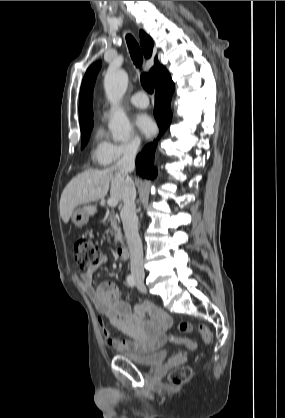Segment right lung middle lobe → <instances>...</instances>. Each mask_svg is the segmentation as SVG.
I'll return each instance as SVG.
<instances>
[{"label":"right lung middle lobe","instance_id":"obj_1","mask_svg":"<svg viewBox=\"0 0 285 418\" xmlns=\"http://www.w3.org/2000/svg\"><path fill=\"white\" fill-rule=\"evenodd\" d=\"M92 127H93V123L81 128L82 147H84L86 145Z\"/></svg>","mask_w":285,"mask_h":418}]
</instances>
